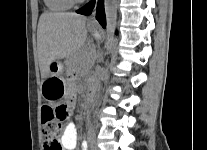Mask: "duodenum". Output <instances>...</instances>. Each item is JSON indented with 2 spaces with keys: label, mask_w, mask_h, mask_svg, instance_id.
<instances>
[{
  "label": "duodenum",
  "mask_w": 207,
  "mask_h": 150,
  "mask_svg": "<svg viewBox=\"0 0 207 150\" xmlns=\"http://www.w3.org/2000/svg\"><path fill=\"white\" fill-rule=\"evenodd\" d=\"M95 87H96L95 83L92 82V83L90 84V87H89L90 97H92V95H93V93H94V91H95Z\"/></svg>",
  "instance_id": "1"
}]
</instances>
